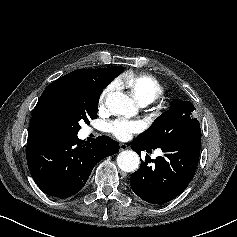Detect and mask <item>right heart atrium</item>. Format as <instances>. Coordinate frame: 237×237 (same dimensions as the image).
Listing matches in <instances>:
<instances>
[{
	"instance_id": "obj_1",
	"label": "right heart atrium",
	"mask_w": 237,
	"mask_h": 237,
	"mask_svg": "<svg viewBox=\"0 0 237 237\" xmlns=\"http://www.w3.org/2000/svg\"><path fill=\"white\" fill-rule=\"evenodd\" d=\"M116 84H110L103 89L99 96V105L104 106L108 96L115 90Z\"/></svg>"
}]
</instances>
